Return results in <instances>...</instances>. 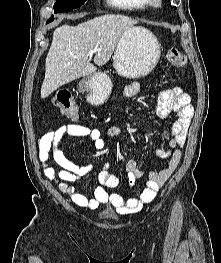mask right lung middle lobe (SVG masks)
Here are the masks:
<instances>
[{"label":"right lung middle lobe","mask_w":221,"mask_h":263,"mask_svg":"<svg viewBox=\"0 0 221 263\" xmlns=\"http://www.w3.org/2000/svg\"><path fill=\"white\" fill-rule=\"evenodd\" d=\"M86 0H57L54 4V13L69 12L75 8L80 7ZM54 20V16L47 21V23Z\"/></svg>","instance_id":"obj_1"}]
</instances>
